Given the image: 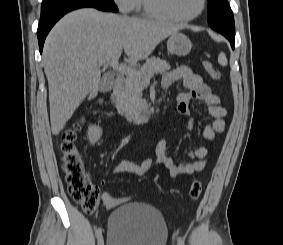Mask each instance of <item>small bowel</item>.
<instances>
[{"instance_id":"small-bowel-1","label":"small bowel","mask_w":283,"mask_h":245,"mask_svg":"<svg viewBox=\"0 0 283 245\" xmlns=\"http://www.w3.org/2000/svg\"><path fill=\"white\" fill-rule=\"evenodd\" d=\"M177 82H181L185 91L176 96V110L185 121L189 130H192L195 121L191 116L190 105L193 101L206 107L209 116L213 119L203 129V137L214 143L216 135L222 133L225 128L224 117L226 109L221 106V100L200 75L188 67H178L166 72L162 78L164 89L170 88ZM188 160L176 162L170 154L168 143L161 139L156 147V154L146 159L142 164H134L130 161H122L115 166L114 173L131 172L144 175L157 165H163L172 177L190 175L202 171L208 162V149L200 145L195 150L188 152Z\"/></svg>"}]
</instances>
